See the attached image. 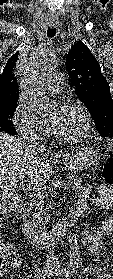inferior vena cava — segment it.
Segmentation results:
<instances>
[{
	"label": "inferior vena cava",
	"mask_w": 113,
	"mask_h": 279,
	"mask_svg": "<svg viewBox=\"0 0 113 279\" xmlns=\"http://www.w3.org/2000/svg\"><path fill=\"white\" fill-rule=\"evenodd\" d=\"M32 148L44 151L43 145H39L37 142H34ZM45 266L48 270H57L60 267L59 258L55 255L54 248H49L46 255Z\"/></svg>",
	"instance_id": "inferior-vena-cava-1"
}]
</instances>
